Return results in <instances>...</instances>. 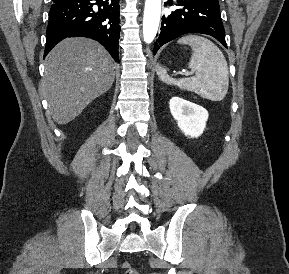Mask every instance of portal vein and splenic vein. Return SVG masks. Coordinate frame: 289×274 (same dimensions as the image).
Segmentation results:
<instances>
[{
	"instance_id": "18ae733b",
	"label": "portal vein and splenic vein",
	"mask_w": 289,
	"mask_h": 274,
	"mask_svg": "<svg viewBox=\"0 0 289 274\" xmlns=\"http://www.w3.org/2000/svg\"><path fill=\"white\" fill-rule=\"evenodd\" d=\"M185 75H186V76H189V75H190V73H189V72H186V73H185Z\"/></svg>"
}]
</instances>
